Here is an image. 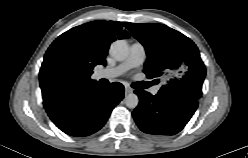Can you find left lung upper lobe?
Returning a JSON list of instances; mask_svg holds the SVG:
<instances>
[{
  "label": "left lung upper lobe",
  "mask_w": 248,
  "mask_h": 158,
  "mask_svg": "<svg viewBox=\"0 0 248 158\" xmlns=\"http://www.w3.org/2000/svg\"><path fill=\"white\" fill-rule=\"evenodd\" d=\"M124 24L145 47L148 59L144 73L147 77L164 75L167 78V84L158 94L199 100L206 68L197 46L182 33L163 24Z\"/></svg>",
  "instance_id": "5c2ea615"
}]
</instances>
